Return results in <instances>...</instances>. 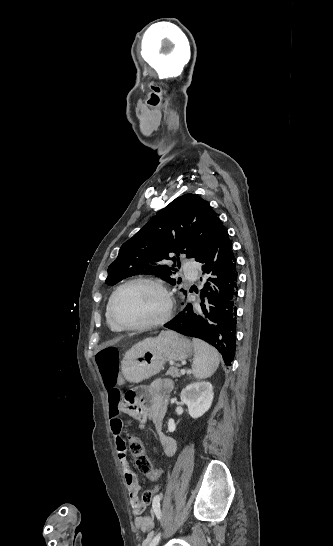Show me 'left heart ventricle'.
I'll return each instance as SVG.
<instances>
[{
	"label": "left heart ventricle",
	"instance_id": "left-heart-ventricle-1",
	"mask_svg": "<svg viewBox=\"0 0 333 546\" xmlns=\"http://www.w3.org/2000/svg\"><path fill=\"white\" fill-rule=\"evenodd\" d=\"M166 307L162 291L146 283L131 284L120 291L114 313L125 325H137L157 319Z\"/></svg>",
	"mask_w": 333,
	"mask_h": 546
}]
</instances>
